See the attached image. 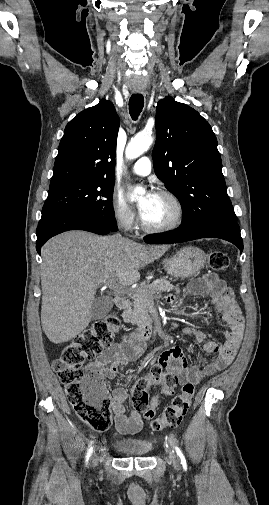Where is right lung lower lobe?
<instances>
[{"label":"right lung lower lobe","mask_w":269,"mask_h":505,"mask_svg":"<svg viewBox=\"0 0 269 505\" xmlns=\"http://www.w3.org/2000/svg\"><path fill=\"white\" fill-rule=\"evenodd\" d=\"M69 230H85L106 235L113 230L102 224L82 216L65 212L53 213L41 218L37 227L36 250L40 254L41 247L51 237Z\"/></svg>","instance_id":"98d812e1"}]
</instances>
